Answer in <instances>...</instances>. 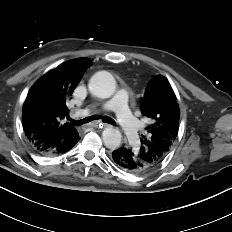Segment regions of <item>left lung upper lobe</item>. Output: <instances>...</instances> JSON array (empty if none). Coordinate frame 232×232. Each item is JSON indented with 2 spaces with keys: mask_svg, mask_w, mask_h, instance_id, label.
<instances>
[{
  "mask_svg": "<svg viewBox=\"0 0 232 232\" xmlns=\"http://www.w3.org/2000/svg\"><path fill=\"white\" fill-rule=\"evenodd\" d=\"M141 112L149 118L150 125L145 128L140 139L141 147L135 153L153 168L168 154L179 130V104L164 76L156 75L149 81Z\"/></svg>",
  "mask_w": 232,
  "mask_h": 232,
  "instance_id": "1",
  "label": "left lung upper lobe"
}]
</instances>
